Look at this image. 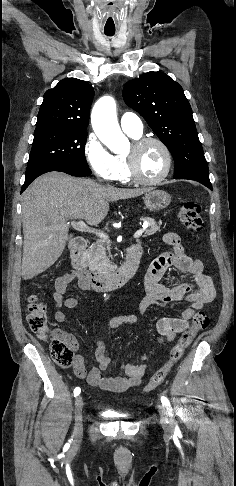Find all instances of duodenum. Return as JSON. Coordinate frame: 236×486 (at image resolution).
<instances>
[{
	"label": "duodenum",
	"mask_w": 236,
	"mask_h": 486,
	"mask_svg": "<svg viewBox=\"0 0 236 486\" xmlns=\"http://www.w3.org/2000/svg\"><path fill=\"white\" fill-rule=\"evenodd\" d=\"M87 242L82 237L74 238L70 244L72 268L79 273L87 285L96 292H106L126 284L136 273L142 254L140 245L128 247L125 262L113 273H104L88 269L83 262V253Z\"/></svg>",
	"instance_id": "duodenum-1"
}]
</instances>
